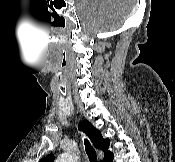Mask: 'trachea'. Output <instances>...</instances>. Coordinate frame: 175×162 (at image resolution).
Listing matches in <instances>:
<instances>
[{"mask_svg": "<svg viewBox=\"0 0 175 162\" xmlns=\"http://www.w3.org/2000/svg\"><path fill=\"white\" fill-rule=\"evenodd\" d=\"M84 145H85V151L89 158L90 162H97V156L96 153L91 145V143L88 141V139H84Z\"/></svg>", "mask_w": 175, "mask_h": 162, "instance_id": "3493384b", "label": "trachea"}]
</instances>
